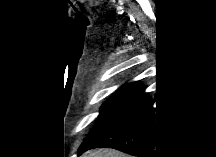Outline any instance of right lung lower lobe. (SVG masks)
Segmentation results:
<instances>
[{
  "label": "right lung lower lobe",
  "mask_w": 216,
  "mask_h": 157,
  "mask_svg": "<svg viewBox=\"0 0 216 157\" xmlns=\"http://www.w3.org/2000/svg\"><path fill=\"white\" fill-rule=\"evenodd\" d=\"M97 147L114 148L137 157H159V120L145 89L136 93L126 113L109 133L79 154Z\"/></svg>",
  "instance_id": "obj_1"
}]
</instances>
